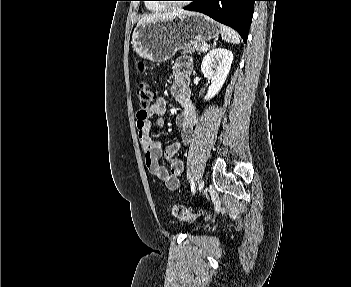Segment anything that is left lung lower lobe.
<instances>
[{"mask_svg": "<svg viewBox=\"0 0 351 287\" xmlns=\"http://www.w3.org/2000/svg\"><path fill=\"white\" fill-rule=\"evenodd\" d=\"M193 4L185 10L197 11L208 15L214 20L228 25L238 31L244 42L254 12V2L257 0H191Z\"/></svg>", "mask_w": 351, "mask_h": 287, "instance_id": "0a47b994", "label": "left lung lower lobe"}]
</instances>
